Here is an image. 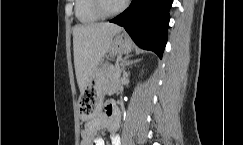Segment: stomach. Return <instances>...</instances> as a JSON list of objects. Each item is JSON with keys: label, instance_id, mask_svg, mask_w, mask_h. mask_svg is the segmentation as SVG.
I'll list each match as a JSON object with an SVG mask.
<instances>
[{"label": "stomach", "instance_id": "obj_1", "mask_svg": "<svg viewBox=\"0 0 243 145\" xmlns=\"http://www.w3.org/2000/svg\"><path fill=\"white\" fill-rule=\"evenodd\" d=\"M112 54H126L131 51V44L127 37L123 34H117L112 42ZM106 68H98L91 75L82 96L79 97L78 106L79 112L84 120H90L94 116H98L102 103L105 82L108 79ZM110 81V80H109Z\"/></svg>", "mask_w": 243, "mask_h": 145}]
</instances>
